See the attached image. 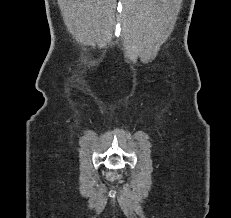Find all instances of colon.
Masks as SVG:
<instances>
[{
  "label": "colon",
  "mask_w": 231,
  "mask_h": 218,
  "mask_svg": "<svg viewBox=\"0 0 231 218\" xmlns=\"http://www.w3.org/2000/svg\"><path fill=\"white\" fill-rule=\"evenodd\" d=\"M107 177H108L109 179H113V178L115 177V175L112 174V173H109V174H107Z\"/></svg>",
  "instance_id": "obj_1"
}]
</instances>
